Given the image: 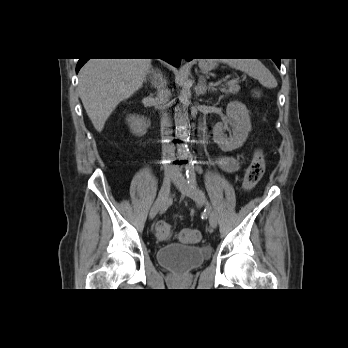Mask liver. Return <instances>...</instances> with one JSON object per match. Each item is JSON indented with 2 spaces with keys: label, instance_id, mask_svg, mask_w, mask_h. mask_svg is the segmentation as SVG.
Here are the masks:
<instances>
[{
  "label": "liver",
  "instance_id": "1",
  "mask_svg": "<svg viewBox=\"0 0 348 348\" xmlns=\"http://www.w3.org/2000/svg\"><path fill=\"white\" fill-rule=\"evenodd\" d=\"M151 59H90L79 72V95L94 128L101 132L117 105L138 91Z\"/></svg>",
  "mask_w": 348,
  "mask_h": 348
}]
</instances>
